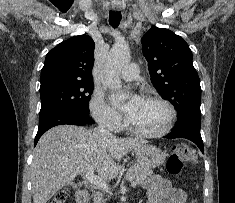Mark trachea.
I'll return each mask as SVG.
<instances>
[{
  "label": "trachea",
  "mask_w": 235,
  "mask_h": 203,
  "mask_svg": "<svg viewBox=\"0 0 235 203\" xmlns=\"http://www.w3.org/2000/svg\"><path fill=\"white\" fill-rule=\"evenodd\" d=\"M121 21V12L119 11H110L109 12V24L116 28L119 26Z\"/></svg>",
  "instance_id": "3493384b"
}]
</instances>
